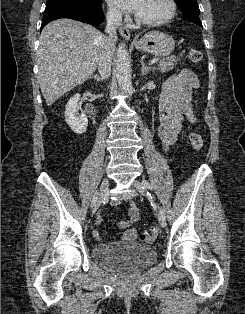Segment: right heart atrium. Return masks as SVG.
Masks as SVG:
<instances>
[{
    "mask_svg": "<svg viewBox=\"0 0 245 314\" xmlns=\"http://www.w3.org/2000/svg\"><path fill=\"white\" fill-rule=\"evenodd\" d=\"M107 15L112 21H116L119 17L118 13L112 9L108 10Z\"/></svg>",
    "mask_w": 245,
    "mask_h": 314,
    "instance_id": "1",
    "label": "right heart atrium"
}]
</instances>
